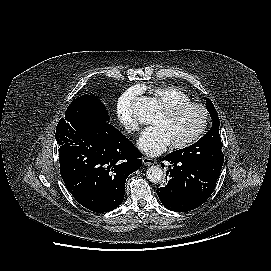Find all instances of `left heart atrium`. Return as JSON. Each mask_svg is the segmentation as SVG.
I'll list each match as a JSON object with an SVG mask.
<instances>
[{"label":"left heart atrium","mask_w":271,"mask_h":271,"mask_svg":"<svg viewBox=\"0 0 271 271\" xmlns=\"http://www.w3.org/2000/svg\"><path fill=\"white\" fill-rule=\"evenodd\" d=\"M170 145V141L159 125L146 128L137 143L138 148L145 154L157 156L163 153Z\"/></svg>","instance_id":"1"}]
</instances>
